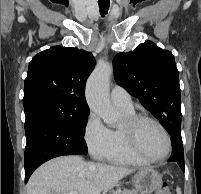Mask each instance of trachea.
I'll return each mask as SVG.
<instances>
[{
	"mask_svg": "<svg viewBox=\"0 0 201 194\" xmlns=\"http://www.w3.org/2000/svg\"><path fill=\"white\" fill-rule=\"evenodd\" d=\"M98 4L101 16H105L108 13L110 2H98Z\"/></svg>",
	"mask_w": 201,
	"mask_h": 194,
	"instance_id": "3493384b",
	"label": "trachea"
}]
</instances>
